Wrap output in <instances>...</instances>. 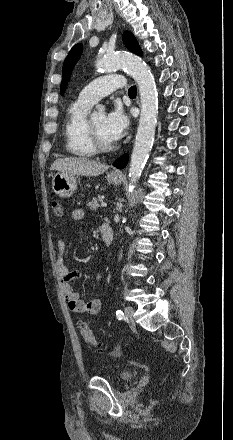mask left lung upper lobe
<instances>
[{"mask_svg": "<svg viewBox=\"0 0 233 440\" xmlns=\"http://www.w3.org/2000/svg\"><path fill=\"white\" fill-rule=\"evenodd\" d=\"M123 41L126 45V47L132 51L133 53L137 55H142L141 48L135 39V37L128 31L124 32L123 34ZM82 53V44H76L69 52L67 58L65 59V62L63 64V70H62V83L60 87L61 94L64 93V90L68 84V81L71 77V72L73 70V67L75 63L80 58V55Z\"/></svg>", "mask_w": 233, "mask_h": 440, "instance_id": "1", "label": "left lung upper lobe"}]
</instances>
